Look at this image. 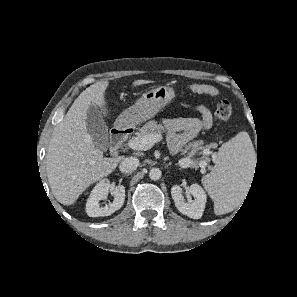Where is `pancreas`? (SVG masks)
<instances>
[{
  "label": "pancreas",
  "instance_id": "obj_1",
  "mask_svg": "<svg viewBox=\"0 0 297 297\" xmlns=\"http://www.w3.org/2000/svg\"><path fill=\"white\" fill-rule=\"evenodd\" d=\"M162 133V126L157 123V121H149L143 127L139 129L137 136H145L147 134H158ZM197 144V143H196ZM194 152H190L189 156L192 157ZM196 164V161L193 162V165Z\"/></svg>",
  "mask_w": 297,
  "mask_h": 297
}]
</instances>
